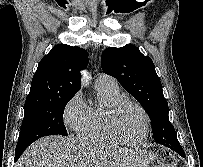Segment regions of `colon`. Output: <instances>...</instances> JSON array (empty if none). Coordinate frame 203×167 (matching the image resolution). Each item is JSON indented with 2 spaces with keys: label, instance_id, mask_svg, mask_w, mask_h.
Returning <instances> with one entry per match:
<instances>
[{
  "label": "colon",
  "instance_id": "5ec220e1",
  "mask_svg": "<svg viewBox=\"0 0 203 167\" xmlns=\"http://www.w3.org/2000/svg\"><path fill=\"white\" fill-rule=\"evenodd\" d=\"M157 161L158 167H176V161L174 157L168 152H159Z\"/></svg>",
  "mask_w": 203,
  "mask_h": 167
}]
</instances>
